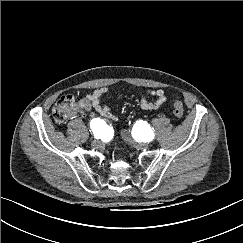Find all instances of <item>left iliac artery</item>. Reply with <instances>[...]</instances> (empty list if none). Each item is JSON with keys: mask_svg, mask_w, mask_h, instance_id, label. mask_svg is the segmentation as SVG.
<instances>
[{"mask_svg": "<svg viewBox=\"0 0 243 243\" xmlns=\"http://www.w3.org/2000/svg\"><path fill=\"white\" fill-rule=\"evenodd\" d=\"M132 134H133V137H135V139L136 140H140L143 136L145 137V138H147V140H152V139H154V134H153V132L151 133H148V134H141V136L139 135L140 133H137V128L136 127H134L133 128V130H132ZM144 137H143V139H144Z\"/></svg>", "mask_w": 243, "mask_h": 243, "instance_id": "left-iliac-artery-1", "label": "left iliac artery"}]
</instances>
